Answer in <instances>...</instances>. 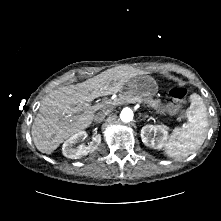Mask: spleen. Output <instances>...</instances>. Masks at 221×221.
<instances>
[{
  "label": "spleen",
  "mask_w": 221,
  "mask_h": 221,
  "mask_svg": "<svg viewBox=\"0 0 221 221\" xmlns=\"http://www.w3.org/2000/svg\"><path fill=\"white\" fill-rule=\"evenodd\" d=\"M190 107L186 111L187 123L176 127L165 143V155L169 158L187 157L200 147L206 138L208 127L207 108L196 93L189 97Z\"/></svg>",
  "instance_id": "obj_1"
}]
</instances>
